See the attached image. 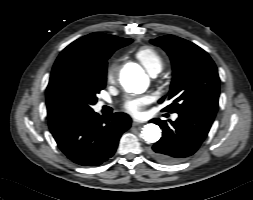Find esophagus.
Masks as SVG:
<instances>
[{"instance_id": "obj_1", "label": "esophagus", "mask_w": 253, "mask_h": 200, "mask_svg": "<svg viewBox=\"0 0 253 200\" xmlns=\"http://www.w3.org/2000/svg\"><path fill=\"white\" fill-rule=\"evenodd\" d=\"M141 124H142V122H139V121H133L132 122L133 126H140Z\"/></svg>"}]
</instances>
